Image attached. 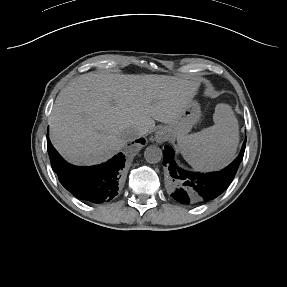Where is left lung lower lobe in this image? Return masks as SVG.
Masks as SVG:
<instances>
[{
  "instance_id": "1",
  "label": "left lung lower lobe",
  "mask_w": 287,
  "mask_h": 287,
  "mask_svg": "<svg viewBox=\"0 0 287 287\" xmlns=\"http://www.w3.org/2000/svg\"><path fill=\"white\" fill-rule=\"evenodd\" d=\"M246 140L239 156L222 171L201 174L178 168L173 160V150L165 146L163 164L170 171L168 190L171 197L183 204H198L219 196L232 182L243 159Z\"/></svg>"
}]
</instances>
